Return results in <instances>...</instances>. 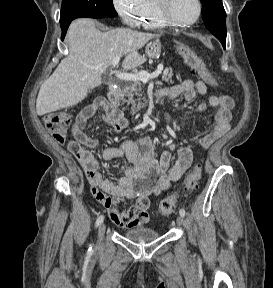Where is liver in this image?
I'll return each mask as SVG.
<instances>
[{"mask_svg":"<svg viewBox=\"0 0 273 288\" xmlns=\"http://www.w3.org/2000/svg\"><path fill=\"white\" fill-rule=\"evenodd\" d=\"M158 36L127 28L101 32L92 19L73 21L68 30L69 55L41 85L37 114L42 116L84 100L91 89L101 85V76L115 57H125L124 70L140 66L146 59L138 50Z\"/></svg>","mask_w":273,"mask_h":288,"instance_id":"6515ba94","label":"liver"}]
</instances>
